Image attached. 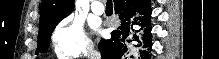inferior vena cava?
<instances>
[{
	"mask_svg": "<svg viewBox=\"0 0 219 59\" xmlns=\"http://www.w3.org/2000/svg\"><path fill=\"white\" fill-rule=\"evenodd\" d=\"M87 58L88 59H101V54H100V52H98L94 49L93 45H88Z\"/></svg>",
	"mask_w": 219,
	"mask_h": 59,
	"instance_id": "1",
	"label": "inferior vena cava"
}]
</instances>
